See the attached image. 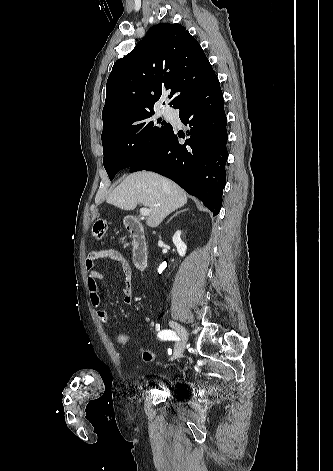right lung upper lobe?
Listing matches in <instances>:
<instances>
[{"mask_svg":"<svg viewBox=\"0 0 333 471\" xmlns=\"http://www.w3.org/2000/svg\"><path fill=\"white\" fill-rule=\"evenodd\" d=\"M213 73L200 44L183 26H152L132 52L114 63L106 85L103 131L152 110L167 90L177 95L170 102L176 108Z\"/></svg>","mask_w":333,"mask_h":471,"instance_id":"1","label":"right lung upper lobe"}]
</instances>
